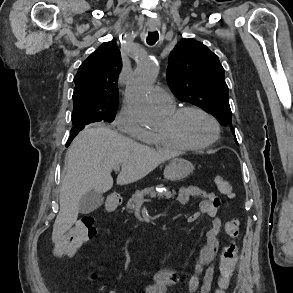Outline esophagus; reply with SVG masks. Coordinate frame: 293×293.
Returning <instances> with one entry per match:
<instances>
[{
	"label": "esophagus",
	"instance_id": "34e87169",
	"mask_svg": "<svg viewBox=\"0 0 293 293\" xmlns=\"http://www.w3.org/2000/svg\"><path fill=\"white\" fill-rule=\"evenodd\" d=\"M150 29H151V30H154L155 28H154V27H150Z\"/></svg>",
	"mask_w": 293,
	"mask_h": 293
}]
</instances>
